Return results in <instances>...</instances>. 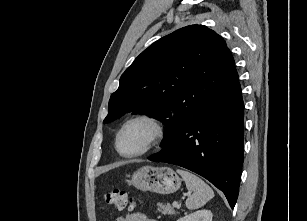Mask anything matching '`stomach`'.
I'll return each mask as SVG.
<instances>
[{
    "label": "stomach",
    "instance_id": "stomach-1",
    "mask_svg": "<svg viewBox=\"0 0 307 221\" xmlns=\"http://www.w3.org/2000/svg\"><path fill=\"white\" fill-rule=\"evenodd\" d=\"M181 181L176 172L169 167L143 166L132 174L129 182L143 191L170 194L181 187Z\"/></svg>",
    "mask_w": 307,
    "mask_h": 221
}]
</instances>
